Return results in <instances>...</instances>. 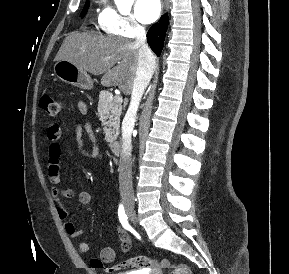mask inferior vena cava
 Instances as JSON below:
<instances>
[{
    "label": "inferior vena cava",
    "instance_id": "602c4592",
    "mask_svg": "<svg viewBox=\"0 0 289 274\" xmlns=\"http://www.w3.org/2000/svg\"><path fill=\"white\" fill-rule=\"evenodd\" d=\"M135 45L139 48L137 70L131 102L122 122V149L119 161V190L122 196L132 194L131 136L142 95L155 70V58L146 41L144 27L137 28Z\"/></svg>",
    "mask_w": 289,
    "mask_h": 274
}]
</instances>
